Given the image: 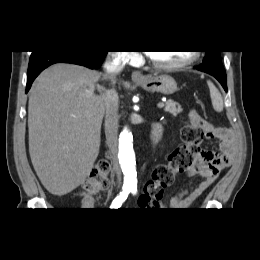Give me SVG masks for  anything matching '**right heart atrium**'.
<instances>
[{
  "instance_id": "right-heart-atrium-1",
  "label": "right heart atrium",
  "mask_w": 260,
  "mask_h": 260,
  "mask_svg": "<svg viewBox=\"0 0 260 260\" xmlns=\"http://www.w3.org/2000/svg\"><path fill=\"white\" fill-rule=\"evenodd\" d=\"M119 58L122 61H135L137 59V55L124 52L119 55Z\"/></svg>"
}]
</instances>
